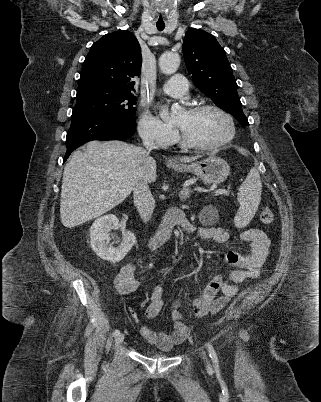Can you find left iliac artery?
Returning <instances> with one entry per match:
<instances>
[{
    "label": "left iliac artery",
    "mask_w": 321,
    "mask_h": 402,
    "mask_svg": "<svg viewBox=\"0 0 321 402\" xmlns=\"http://www.w3.org/2000/svg\"><path fill=\"white\" fill-rule=\"evenodd\" d=\"M206 346H207V349L209 352V356L211 357L213 363L215 365H218V357H217V354H216L214 348L212 347V345L210 343H207Z\"/></svg>",
    "instance_id": "obj_1"
}]
</instances>
